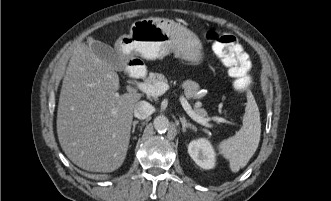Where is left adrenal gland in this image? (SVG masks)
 <instances>
[{"label": "left adrenal gland", "mask_w": 331, "mask_h": 201, "mask_svg": "<svg viewBox=\"0 0 331 201\" xmlns=\"http://www.w3.org/2000/svg\"><path fill=\"white\" fill-rule=\"evenodd\" d=\"M180 122L182 124V131L183 132H186L187 128H190L193 131H196V127L194 125H192L191 123L187 122V120L184 117L180 118Z\"/></svg>", "instance_id": "a2214340"}]
</instances>
